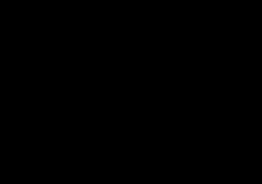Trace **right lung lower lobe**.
Wrapping results in <instances>:
<instances>
[{
  "instance_id": "right-lung-lower-lobe-1",
  "label": "right lung lower lobe",
  "mask_w": 262,
  "mask_h": 184,
  "mask_svg": "<svg viewBox=\"0 0 262 184\" xmlns=\"http://www.w3.org/2000/svg\"><path fill=\"white\" fill-rule=\"evenodd\" d=\"M52 118L55 124H59L65 139L72 143L80 141V144H89L101 141L108 133L109 124H99L92 129L89 125L80 123L81 118L76 112L77 106L83 103L82 97L74 92H58L52 99ZM78 143V142H77Z\"/></svg>"
}]
</instances>
